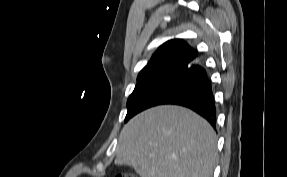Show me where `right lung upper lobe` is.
I'll list each match as a JSON object with an SVG mask.
<instances>
[{"label":"right lung upper lobe","mask_w":287,"mask_h":177,"mask_svg":"<svg viewBox=\"0 0 287 177\" xmlns=\"http://www.w3.org/2000/svg\"><path fill=\"white\" fill-rule=\"evenodd\" d=\"M197 51L193 50L187 43L180 39L165 42L153 54L147 66L166 60H179L181 65L195 61Z\"/></svg>","instance_id":"right-lung-upper-lobe-1"}]
</instances>
